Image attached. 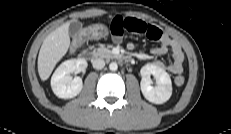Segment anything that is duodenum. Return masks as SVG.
<instances>
[{
    "instance_id": "1",
    "label": "duodenum",
    "mask_w": 231,
    "mask_h": 134,
    "mask_svg": "<svg viewBox=\"0 0 231 134\" xmlns=\"http://www.w3.org/2000/svg\"><path fill=\"white\" fill-rule=\"evenodd\" d=\"M114 57H116L118 59H121V60H123L126 63H130L131 62V57L130 56L115 55ZM80 58L88 60V59L92 58V55H91L90 52L84 50V51L80 52Z\"/></svg>"
}]
</instances>
